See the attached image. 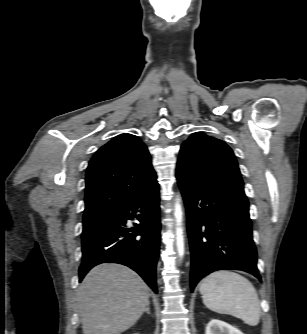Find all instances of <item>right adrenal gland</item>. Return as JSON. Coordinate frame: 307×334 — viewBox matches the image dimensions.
I'll return each mask as SVG.
<instances>
[{"instance_id":"right-adrenal-gland-1","label":"right adrenal gland","mask_w":307,"mask_h":334,"mask_svg":"<svg viewBox=\"0 0 307 334\" xmlns=\"http://www.w3.org/2000/svg\"><path fill=\"white\" fill-rule=\"evenodd\" d=\"M144 312H146L147 314H150V303H148V305L146 306Z\"/></svg>"}]
</instances>
